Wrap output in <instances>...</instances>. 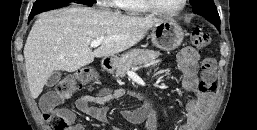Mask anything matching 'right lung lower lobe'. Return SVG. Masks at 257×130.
I'll use <instances>...</instances> for the list:
<instances>
[{
	"label": "right lung lower lobe",
	"instance_id": "1",
	"mask_svg": "<svg viewBox=\"0 0 257 130\" xmlns=\"http://www.w3.org/2000/svg\"><path fill=\"white\" fill-rule=\"evenodd\" d=\"M56 8V7H55ZM53 9V8H52ZM32 16H29V20H31Z\"/></svg>",
	"mask_w": 257,
	"mask_h": 130
}]
</instances>
